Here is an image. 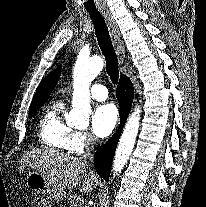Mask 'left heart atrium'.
I'll return each mask as SVG.
<instances>
[{"instance_id":"obj_1","label":"left heart atrium","mask_w":206,"mask_h":207,"mask_svg":"<svg viewBox=\"0 0 206 207\" xmlns=\"http://www.w3.org/2000/svg\"><path fill=\"white\" fill-rule=\"evenodd\" d=\"M118 111L114 104L105 103L96 108L92 116V128L95 136L104 138L115 128Z\"/></svg>"}]
</instances>
